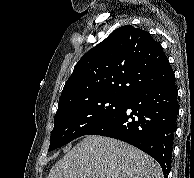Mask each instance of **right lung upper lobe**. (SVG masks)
<instances>
[{
  "label": "right lung upper lobe",
  "mask_w": 194,
  "mask_h": 178,
  "mask_svg": "<svg viewBox=\"0 0 194 178\" xmlns=\"http://www.w3.org/2000/svg\"><path fill=\"white\" fill-rule=\"evenodd\" d=\"M173 75L160 43L150 33L122 26L77 62L63 88L58 109L98 96L129 98Z\"/></svg>",
  "instance_id": "1"
}]
</instances>
